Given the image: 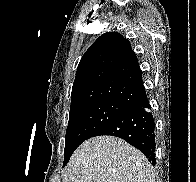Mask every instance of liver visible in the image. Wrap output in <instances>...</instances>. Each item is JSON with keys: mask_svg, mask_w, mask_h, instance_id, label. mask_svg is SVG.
Returning <instances> with one entry per match:
<instances>
[{"mask_svg": "<svg viewBox=\"0 0 196 182\" xmlns=\"http://www.w3.org/2000/svg\"><path fill=\"white\" fill-rule=\"evenodd\" d=\"M62 182H155L146 157L124 140L97 136L70 158Z\"/></svg>", "mask_w": 196, "mask_h": 182, "instance_id": "1", "label": "liver"}]
</instances>
